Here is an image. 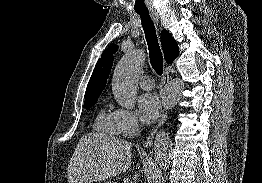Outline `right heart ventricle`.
Wrapping results in <instances>:
<instances>
[{
    "label": "right heart ventricle",
    "instance_id": "e07e8e85",
    "mask_svg": "<svg viewBox=\"0 0 262 183\" xmlns=\"http://www.w3.org/2000/svg\"><path fill=\"white\" fill-rule=\"evenodd\" d=\"M94 126L96 130L102 133L113 136L122 134L116 123L114 113L111 111H106L105 109H101L97 114Z\"/></svg>",
    "mask_w": 262,
    "mask_h": 183
}]
</instances>
